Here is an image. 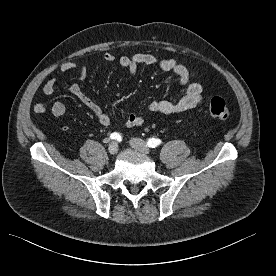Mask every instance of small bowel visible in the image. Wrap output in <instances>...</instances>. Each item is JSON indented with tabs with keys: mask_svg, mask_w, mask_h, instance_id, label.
<instances>
[{
	"mask_svg": "<svg viewBox=\"0 0 276 276\" xmlns=\"http://www.w3.org/2000/svg\"><path fill=\"white\" fill-rule=\"evenodd\" d=\"M103 60L106 63H113L116 56L110 52L103 55ZM118 63L121 67L128 70L129 74L134 76L140 65L157 66L165 72H171L179 79L180 85L186 88L185 95L176 102L171 101H154L148 105V110L151 113H159L163 115H173L179 112L186 111L195 107L202 100V85L199 81L194 80V74L184 65L177 63L173 59H159L153 54L138 53L132 56H122ZM60 70L70 71L76 70L80 81H85L88 77L87 67L84 64L74 62H65L61 64ZM56 78H49L43 85V92L46 95H51L55 91ZM69 92L77 98L84 106H86L97 118L102 125H109L111 117L105 113L102 108L92 100L81 88L78 83L69 86ZM33 108L36 112L42 113L46 110V105L41 102H34ZM51 112L56 118H63L66 113L65 105L57 101L53 103ZM143 117L139 114L131 113L125 120V125L128 128L138 127L142 125Z\"/></svg>",
	"mask_w": 276,
	"mask_h": 276,
	"instance_id": "obj_1",
	"label": "small bowel"
}]
</instances>
